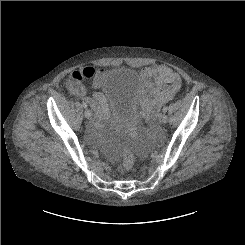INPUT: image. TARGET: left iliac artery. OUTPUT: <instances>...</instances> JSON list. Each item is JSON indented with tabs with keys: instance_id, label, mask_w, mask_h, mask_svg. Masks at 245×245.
I'll return each instance as SVG.
<instances>
[{
	"instance_id": "1",
	"label": "left iliac artery",
	"mask_w": 245,
	"mask_h": 245,
	"mask_svg": "<svg viewBox=\"0 0 245 245\" xmlns=\"http://www.w3.org/2000/svg\"><path fill=\"white\" fill-rule=\"evenodd\" d=\"M167 110H168L167 107H164V108H163V112H164V113L167 112Z\"/></svg>"
}]
</instances>
